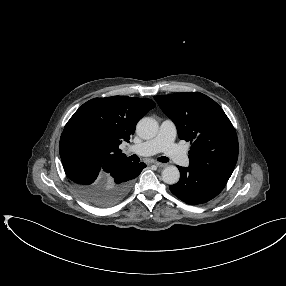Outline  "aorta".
Here are the masks:
<instances>
[{
  "label": "aorta",
  "mask_w": 286,
  "mask_h": 286,
  "mask_svg": "<svg viewBox=\"0 0 286 286\" xmlns=\"http://www.w3.org/2000/svg\"><path fill=\"white\" fill-rule=\"evenodd\" d=\"M136 132L143 139H151L157 135L158 123L150 117L142 118L137 124ZM179 178L180 172L176 166H166L162 171V180L166 184H176Z\"/></svg>",
  "instance_id": "obj_1"
}]
</instances>
